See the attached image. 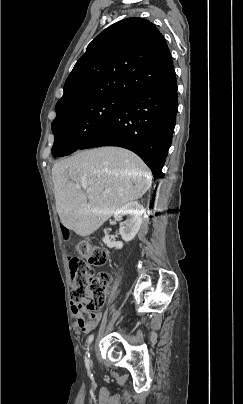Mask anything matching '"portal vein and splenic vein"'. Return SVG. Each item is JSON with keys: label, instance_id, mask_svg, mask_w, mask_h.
<instances>
[{"label": "portal vein and splenic vein", "instance_id": "portal-vein-and-splenic-vein-1", "mask_svg": "<svg viewBox=\"0 0 243 404\" xmlns=\"http://www.w3.org/2000/svg\"><path fill=\"white\" fill-rule=\"evenodd\" d=\"M87 194H88V190H86ZM103 194H108V192H103Z\"/></svg>", "mask_w": 243, "mask_h": 404}]
</instances>
